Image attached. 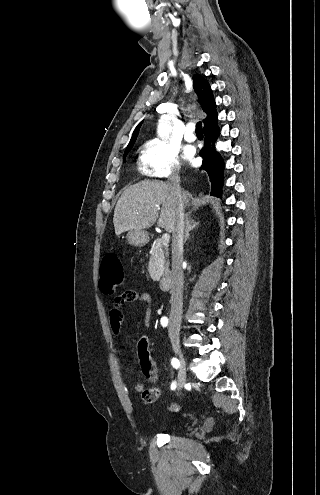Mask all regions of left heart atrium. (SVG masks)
I'll use <instances>...</instances> for the list:
<instances>
[{"label": "left heart atrium", "mask_w": 320, "mask_h": 495, "mask_svg": "<svg viewBox=\"0 0 320 495\" xmlns=\"http://www.w3.org/2000/svg\"><path fill=\"white\" fill-rule=\"evenodd\" d=\"M185 157H186L187 159L191 160V161L193 160V154H192V153H190V152H189V153H186Z\"/></svg>", "instance_id": "obj_1"}]
</instances>
